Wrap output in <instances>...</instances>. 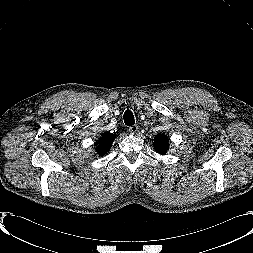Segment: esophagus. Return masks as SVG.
Masks as SVG:
<instances>
[{"label": "esophagus", "instance_id": "obj_1", "mask_svg": "<svg viewBox=\"0 0 253 253\" xmlns=\"http://www.w3.org/2000/svg\"><path fill=\"white\" fill-rule=\"evenodd\" d=\"M128 131L130 134H136L138 132V126L137 125L131 126L129 127Z\"/></svg>", "mask_w": 253, "mask_h": 253}]
</instances>
